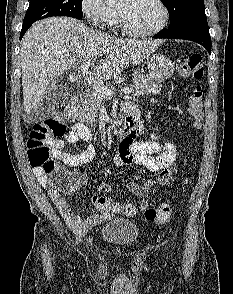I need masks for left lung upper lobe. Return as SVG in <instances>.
<instances>
[{
    "mask_svg": "<svg viewBox=\"0 0 233 294\" xmlns=\"http://www.w3.org/2000/svg\"><path fill=\"white\" fill-rule=\"evenodd\" d=\"M167 7L170 26L175 27L187 21H207L203 0H161Z\"/></svg>",
    "mask_w": 233,
    "mask_h": 294,
    "instance_id": "left-lung-upper-lobe-1",
    "label": "left lung upper lobe"
}]
</instances>
